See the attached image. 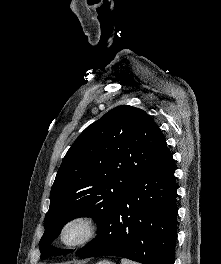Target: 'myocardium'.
<instances>
[{"mask_svg":"<svg viewBox=\"0 0 221 264\" xmlns=\"http://www.w3.org/2000/svg\"><path fill=\"white\" fill-rule=\"evenodd\" d=\"M77 228L79 230V236L73 241H69L66 238L67 232L72 229ZM98 231L97 220L85 213H79L68 218L62 225L60 230V240L61 242L69 248H77L85 245L91 241Z\"/></svg>","mask_w":221,"mask_h":264,"instance_id":"1","label":"myocardium"}]
</instances>
